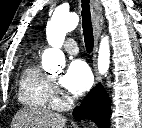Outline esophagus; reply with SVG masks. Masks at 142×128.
Returning <instances> with one entry per match:
<instances>
[{
	"label": "esophagus",
	"mask_w": 142,
	"mask_h": 128,
	"mask_svg": "<svg viewBox=\"0 0 142 128\" xmlns=\"http://www.w3.org/2000/svg\"><path fill=\"white\" fill-rule=\"evenodd\" d=\"M90 9H91L93 35H94V48H93L94 78H95V85H97L101 81V78L97 71V63H96L98 42L101 34L100 21L102 19V8L99 0H90Z\"/></svg>",
	"instance_id": "obj_1"
}]
</instances>
